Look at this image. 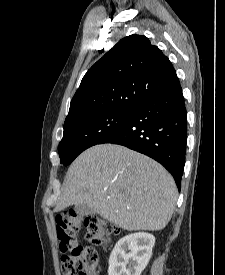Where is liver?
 <instances>
[{"label": "liver", "instance_id": "liver-1", "mask_svg": "<svg viewBox=\"0 0 225 275\" xmlns=\"http://www.w3.org/2000/svg\"><path fill=\"white\" fill-rule=\"evenodd\" d=\"M177 188L151 158L115 144L95 145L69 167L54 211L85 204L128 231L162 230L175 209Z\"/></svg>", "mask_w": 225, "mask_h": 275}]
</instances>
